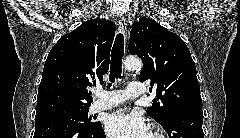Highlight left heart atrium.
<instances>
[{
	"instance_id": "obj_1",
	"label": "left heart atrium",
	"mask_w": 240,
	"mask_h": 138,
	"mask_svg": "<svg viewBox=\"0 0 240 138\" xmlns=\"http://www.w3.org/2000/svg\"><path fill=\"white\" fill-rule=\"evenodd\" d=\"M105 128L112 138H149L151 134L144 118L138 112L126 108L109 115Z\"/></svg>"
}]
</instances>
